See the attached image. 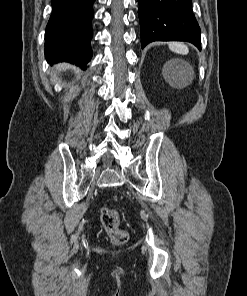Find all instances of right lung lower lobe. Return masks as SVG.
I'll use <instances>...</instances> for the list:
<instances>
[{
	"label": "right lung lower lobe",
	"instance_id": "1",
	"mask_svg": "<svg viewBox=\"0 0 247 296\" xmlns=\"http://www.w3.org/2000/svg\"><path fill=\"white\" fill-rule=\"evenodd\" d=\"M95 0H51L52 14L45 32L48 62H71L85 69L92 57L91 20Z\"/></svg>",
	"mask_w": 247,
	"mask_h": 296
}]
</instances>
